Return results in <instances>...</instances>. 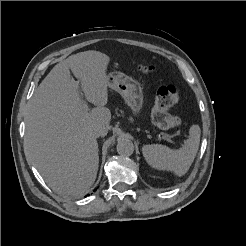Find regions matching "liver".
<instances>
[{
  "instance_id": "liver-1",
  "label": "liver",
  "mask_w": 246,
  "mask_h": 246,
  "mask_svg": "<svg viewBox=\"0 0 246 246\" xmlns=\"http://www.w3.org/2000/svg\"><path fill=\"white\" fill-rule=\"evenodd\" d=\"M110 58L99 51L71 55L58 63L36 89L25 118L28 157L51 189L82 196L93 185L99 164L98 143L92 131L109 129L108 102ZM96 107L85 111L77 84Z\"/></svg>"
}]
</instances>
